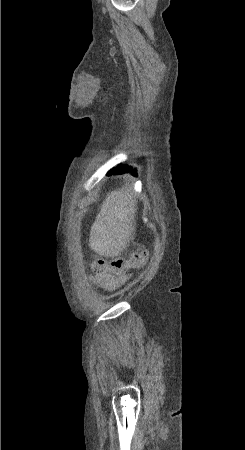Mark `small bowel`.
<instances>
[{"instance_id":"c3829d8e","label":"small bowel","mask_w":245,"mask_h":450,"mask_svg":"<svg viewBox=\"0 0 245 450\" xmlns=\"http://www.w3.org/2000/svg\"><path fill=\"white\" fill-rule=\"evenodd\" d=\"M92 279L100 286L113 289L125 283L127 276L125 274L115 273L112 270H107L104 273L95 275Z\"/></svg>"}]
</instances>
